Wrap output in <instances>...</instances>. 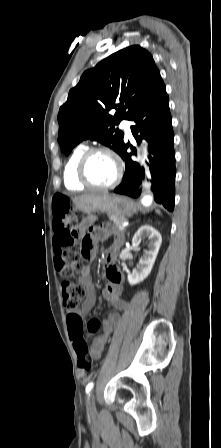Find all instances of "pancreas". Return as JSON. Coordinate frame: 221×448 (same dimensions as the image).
I'll return each mask as SVG.
<instances>
[{
  "label": "pancreas",
  "instance_id": "1",
  "mask_svg": "<svg viewBox=\"0 0 221 448\" xmlns=\"http://www.w3.org/2000/svg\"><path fill=\"white\" fill-rule=\"evenodd\" d=\"M109 219L114 223L116 228H120L121 224L126 222L125 217H118V216L111 215V216H109Z\"/></svg>",
  "mask_w": 221,
  "mask_h": 448
}]
</instances>
